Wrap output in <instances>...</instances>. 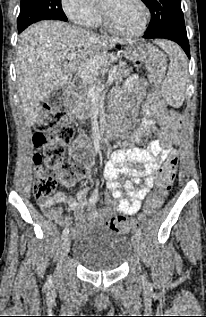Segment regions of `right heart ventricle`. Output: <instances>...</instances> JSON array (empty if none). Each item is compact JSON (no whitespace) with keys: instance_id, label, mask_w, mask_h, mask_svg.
Returning <instances> with one entry per match:
<instances>
[{"instance_id":"e07e8e85","label":"right heart ventricle","mask_w":206,"mask_h":317,"mask_svg":"<svg viewBox=\"0 0 206 317\" xmlns=\"http://www.w3.org/2000/svg\"><path fill=\"white\" fill-rule=\"evenodd\" d=\"M99 22V19L97 20V22L95 24H97Z\"/></svg>"}]
</instances>
